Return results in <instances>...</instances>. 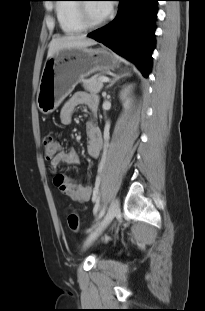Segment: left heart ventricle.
<instances>
[{
	"label": "left heart ventricle",
	"instance_id": "b2bd125f",
	"mask_svg": "<svg viewBox=\"0 0 205 311\" xmlns=\"http://www.w3.org/2000/svg\"><path fill=\"white\" fill-rule=\"evenodd\" d=\"M87 12L92 22H98L105 17L98 3H87Z\"/></svg>",
	"mask_w": 205,
	"mask_h": 311
}]
</instances>
